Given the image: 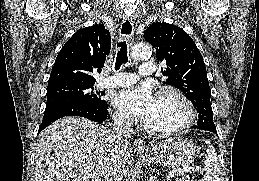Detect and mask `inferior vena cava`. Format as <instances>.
Masks as SVG:
<instances>
[{
	"instance_id": "602c4592",
	"label": "inferior vena cava",
	"mask_w": 259,
	"mask_h": 181,
	"mask_svg": "<svg viewBox=\"0 0 259 181\" xmlns=\"http://www.w3.org/2000/svg\"><path fill=\"white\" fill-rule=\"evenodd\" d=\"M112 133L115 141V149L111 154V164L107 170L106 181H122L123 169L120 154L129 145V139L131 137L129 117L126 115L116 116L114 118Z\"/></svg>"
}]
</instances>
